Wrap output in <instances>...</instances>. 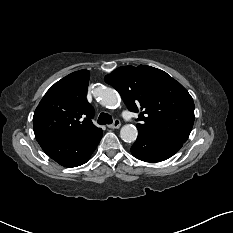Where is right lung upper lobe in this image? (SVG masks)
<instances>
[{"instance_id":"obj_1","label":"right lung upper lobe","mask_w":233,"mask_h":233,"mask_svg":"<svg viewBox=\"0 0 233 233\" xmlns=\"http://www.w3.org/2000/svg\"><path fill=\"white\" fill-rule=\"evenodd\" d=\"M90 72L79 70L55 83L33 116L38 142L78 141L101 130L93 125L94 110L86 99Z\"/></svg>"}]
</instances>
